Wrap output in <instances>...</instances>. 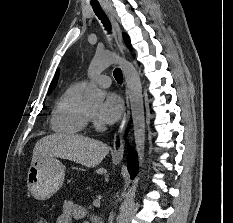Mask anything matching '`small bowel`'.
I'll return each instance as SVG.
<instances>
[{"label": "small bowel", "mask_w": 233, "mask_h": 223, "mask_svg": "<svg viewBox=\"0 0 233 223\" xmlns=\"http://www.w3.org/2000/svg\"><path fill=\"white\" fill-rule=\"evenodd\" d=\"M88 216L87 210L70 200H65L62 204L61 213L56 219V223H73V220H81ZM92 223H100V221L90 216Z\"/></svg>", "instance_id": "small-bowel-1"}]
</instances>
